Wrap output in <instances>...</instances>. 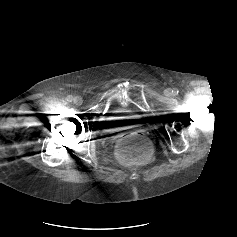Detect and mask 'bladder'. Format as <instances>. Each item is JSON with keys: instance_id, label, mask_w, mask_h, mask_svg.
Returning <instances> with one entry per match:
<instances>
[{"instance_id": "bladder-1", "label": "bladder", "mask_w": 237, "mask_h": 237, "mask_svg": "<svg viewBox=\"0 0 237 237\" xmlns=\"http://www.w3.org/2000/svg\"><path fill=\"white\" fill-rule=\"evenodd\" d=\"M139 123V115L135 113L116 111L107 116L106 120L103 122L102 131L104 133H113L122 128L136 126Z\"/></svg>"}]
</instances>
